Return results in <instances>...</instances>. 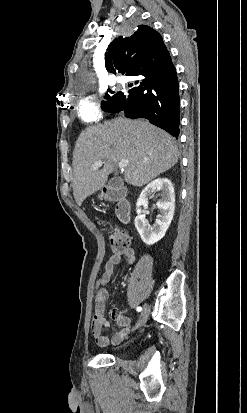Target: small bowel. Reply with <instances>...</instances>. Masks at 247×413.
<instances>
[{"instance_id":"obj_1","label":"small bowel","mask_w":247,"mask_h":413,"mask_svg":"<svg viewBox=\"0 0 247 413\" xmlns=\"http://www.w3.org/2000/svg\"><path fill=\"white\" fill-rule=\"evenodd\" d=\"M122 259L128 264H132L135 260L134 249L129 247L121 253H113L105 263L103 273L98 279V288L94 297L95 307L91 330L96 344L100 347L107 346L110 341L113 344H118L129 333L130 321L126 317V312L124 310H118L114 305L111 306L109 313L116 323L122 327V330L115 333L111 339L103 333L104 326L108 325V320L105 316L106 302L109 298L108 284L113 276L115 266L120 263Z\"/></svg>"}]
</instances>
